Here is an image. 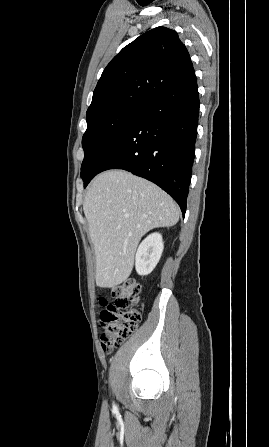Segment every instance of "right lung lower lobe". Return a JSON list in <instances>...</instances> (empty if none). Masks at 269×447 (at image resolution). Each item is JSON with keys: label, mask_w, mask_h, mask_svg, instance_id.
Segmentation results:
<instances>
[{"label": "right lung lower lobe", "mask_w": 269, "mask_h": 447, "mask_svg": "<svg viewBox=\"0 0 269 447\" xmlns=\"http://www.w3.org/2000/svg\"><path fill=\"white\" fill-rule=\"evenodd\" d=\"M142 105V112L89 168L84 187L102 171L124 169L165 190L184 215L199 114L193 67Z\"/></svg>", "instance_id": "1"}]
</instances>
